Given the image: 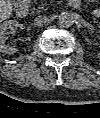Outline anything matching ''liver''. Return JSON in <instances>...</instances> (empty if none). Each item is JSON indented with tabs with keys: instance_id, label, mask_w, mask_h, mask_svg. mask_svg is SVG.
Here are the masks:
<instances>
[{
	"instance_id": "obj_1",
	"label": "liver",
	"mask_w": 100,
	"mask_h": 118,
	"mask_svg": "<svg viewBox=\"0 0 100 118\" xmlns=\"http://www.w3.org/2000/svg\"><path fill=\"white\" fill-rule=\"evenodd\" d=\"M0 8H1V19L8 18L13 10L10 0H1Z\"/></svg>"
}]
</instances>
